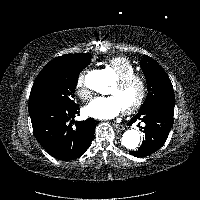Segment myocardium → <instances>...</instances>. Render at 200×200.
Masks as SVG:
<instances>
[{"label": "myocardium", "instance_id": "1", "mask_svg": "<svg viewBox=\"0 0 200 200\" xmlns=\"http://www.w3.org/2000/svg\"><path fill=\"white\" fill-rule=\"evenodd\" d=\"M133 82H136L139 84L140 93L137 100L131 106L124 108V112L126 114H132L138 111L144 104L145 99L147 97V92H148L147 82H146L145 77L141 74L132 73V74L123 76L121 78H118L116 85L122 88Z\"/></svg>", "mask_w": 200, "mask_h": 200}]
</instances>
